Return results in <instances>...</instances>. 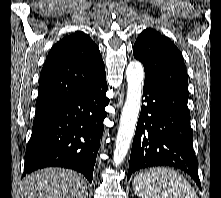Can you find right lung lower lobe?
Returning a JSON list of instances; mask_svg holds the SVG:
<instances>
[{"label":"right lung lower lobe","instance_id":"right-lung-lower-lobe-1","mask_svg":"<svg viewBox=\"0 0 221 198\" xmlns=\"http://www.w3.org/2000/svg\"><path fill=\"white\" fill-rule=\"evenodd\" d=\"M106 75L89 87L36 113L23 176L45 167L82 173L91 183L103 133Z\"/></svg>","mask_w":221,"mask_h":198}]
</instances>
